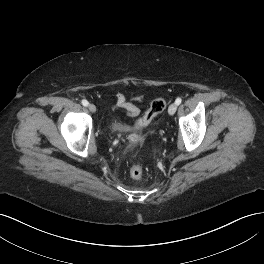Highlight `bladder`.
Returning a JSON list of instances; mask_svg holds the SVG:
<instances>
[{
  "label": "bladder",
  "instance_id": "1",
  "mask_svg": "<svg viewBox=\"0 0 264 264\" xmlns=\"http://www.w3.org/2000/svg\"><path fill=\"white\" fill-rule=\"evenodd\" d=\"M112 128H113V130H116V131L123 130V126H121L118 123H113Z\"/></svg>",
  "mask_w": 264,
  "mask_h": 264
}]
</instances>
